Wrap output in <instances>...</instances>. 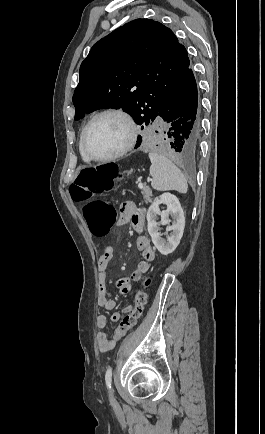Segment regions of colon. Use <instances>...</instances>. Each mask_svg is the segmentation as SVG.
<instances>
[{"instance_id": "1", "label": "colon", "mask_w": 265, "mask_h": 434, "mask_svg": "<svg viewBox=\"0 0 265 434\" xmlns=\"http://www.w3.org/2000/svg\"><path fill=\"white\" fill-rule=\"evenodd\" d=\"M116 174L114 164H85V168L79 169L77 179L68 186L69 193H76V202H86L81 207L82 215L89 230L96 237H104L109 234L118 220V211L113 203L105 199H92L91 193H94L95 189H107L111 185L110 181H115ZM143 280L145 285L151 283L149 275H146ZM145 302L146 295L138 291L135 308L129 310V318L122 319L115 330L113 336L115 341L118 342L128 330L136 326Z\"/></svg>"}]
</instances>
